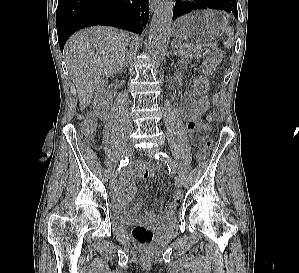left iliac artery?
<instances>
[{
	"instance_id": "left-iliac-artery-1",
	"label": "left iliac artery",
	"mask_w": 299,
	"mask_h": 273,
	"mask_svg": "<svg viewBox=\"0 0 299 273\" xmlns=\"http://www.w3.org/2000/svg\"><path fill=\"white\" fill-rule=\"evenodd\" d=\"M156 159L164 160L169 168L170 171L175 172L177 171V165L175 162L164 152H158L154 155Z\"/></svg>"
}]
</instances>
